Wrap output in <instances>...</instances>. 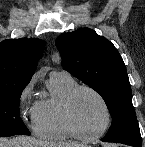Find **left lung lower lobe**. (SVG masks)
I'll list each match as a JSON object with an SVG mask.
<instances>
[{
    "mask_svg": "<svg viewBox=\"0 0 145 147\" xmlns=\"http://www.w3.org/2000/svg\"><path fill=\"white\" fill-rule=\"evenodd\" d=\"M101 140H102L103 142H108V141H105L104 138L101 139ZM127 145H129V144H127ZM130 146H133V147H141V145H140V146L130 145Z\"/></svg>",
    "mask_w": 145,
    "mask_h": 147,
    "instance_id": "left-lung-lower-lobe-1",
    "label": "left lung lower lobe"
}]
</instances>
